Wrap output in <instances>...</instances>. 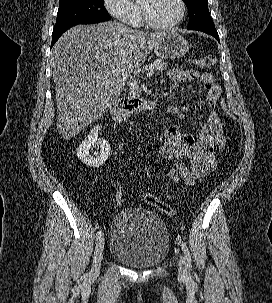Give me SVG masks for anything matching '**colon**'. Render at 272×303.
Instances as JSON below:
<instances>
[{"label":"colon","mask_w":272,"mask_h":303,"mask_svg":"<svg viewBox=\"0 0 272 303\" xmlns=\"http://www.w3.org/2000/svg\"><path fill=\"white\" fill-rule=\"evenodd\" d=\"M191 63L196 64L201 67H210L214 65L215 63V57L212 55H205L199 59H192L190 60ZM221 109L226 113L231 119L234 121H238L237 117L228 109L227 104L224 100H221L220 102ZM144 202H146L148 205L155 207L159 211L172 216L174 215V209L172 206H170L168 203L160 200L157 196L151 194V193H144L142 196ZM115 199L118 204H122L123 202V191L122 186L120 184H117L116 186V192H115Z\"/></svg>","instance_id":"1"}]
</instances>
